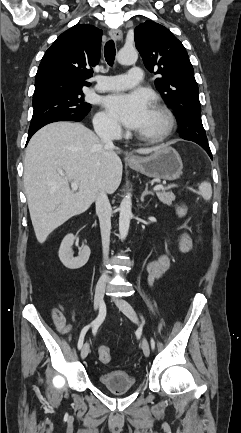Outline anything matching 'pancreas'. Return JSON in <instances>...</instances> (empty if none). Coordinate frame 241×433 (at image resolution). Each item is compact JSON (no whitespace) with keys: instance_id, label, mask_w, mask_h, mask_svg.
<instances>
[{"instance_id":"cf45deb5","label":"pancreas","mask_w":241,"mask_h":433,"mask_svg":"<svg viewBox=\"0 0 241 433\" xmlns=\"http://www.w3.org/2000/svg\"><path fill=\"white\" fill-rule=\"evenodd\" d=\"M156 195L160 202L168 206L172 205L175 200V195L172 192H157Z\"/></svg>"}]
</instances>
